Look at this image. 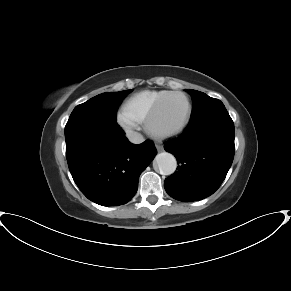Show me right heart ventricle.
<instances>
[{"mask_svg": "<svg viewBox=\"0 0 291 291\" xmlns=\"http://www.w3.org/2000/svg\"><path fill=\"white\" fill-rule=\"evenodd\" d=\"M170 91L144 90L131 95L124 103V109L139 122L145 121L157 101Z\"/></svg>", "mask_w": 291, "mask_h": 291, "instance_id": "e07e8e85", "label": "right heart ventricle"}]
</instances>
